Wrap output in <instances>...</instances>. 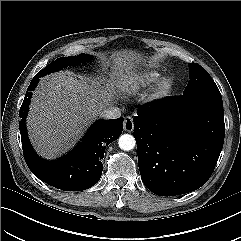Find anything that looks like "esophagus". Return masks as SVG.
<instances>
[{"instance_id": "esophagus-1", "label": "esophagus", "mask_w": 241, "mask_h": 241, "mask_svg": "<svg viewBox=\"0 0 241 241\" xmlns=\"http://www.w3.org/2000/svg\"><path fill=\"white\" fill-rule=\"evenodd\" d=\"M123 126L125 131L132 132L134 129V123H133L132 117L130 116L125 117Z\"/></svg>"}]
</instances>
